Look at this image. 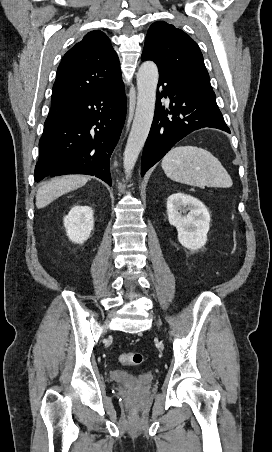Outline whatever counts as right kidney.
Wrapping results in <instances>:
<instances>
[{"label": "right kidney", "mask_w": 272, "mask_h": 452, "mask_svg": "<svg viewBox=\"0 0 272 452\" xmlns=\"http://www.w3.org/2000/svg\"><path fill=\"white\" fill-rule=\"evenodd\" d=\"M63 221L69 239L74 243H83L94 228L93 210L89 206H74Z\"/></svg>", "instance_id": "obj_1"}]
</instances>
